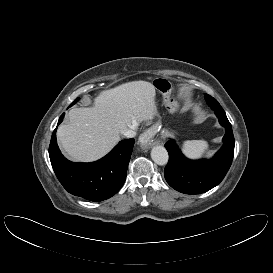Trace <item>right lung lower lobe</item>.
Listing matches in <instances>:
<instances>
[{
	"label": "right lung lower lobe",
	"mask_w": 273,
	"mask_h": 273,
	"mask_svg": "<svg viewBox=\"0 0 273 273\" xmlns=\"http://www.w3.org/2000/svg\"><path fill=\"white\" fill-rule=\"evenodd\" d=\"M60 116L57 126L62 122ZM54 130L49 146V157L53 170L71 194L90 201H102L115 195L123 186L130 161L134 139L119 142L102 159L91 163H76L67 160L60 152Z\"/></svg>",
	"instance_id": "right-lung-lower-lobe-1"
}]
</instances>
